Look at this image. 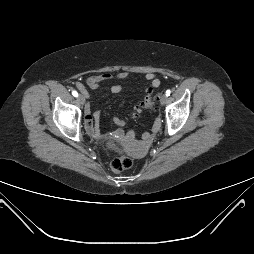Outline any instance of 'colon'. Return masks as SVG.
<instances>
[{"mask_svg":"<svg viewBox=\"0 0 254 254\" xmlns=\"http://www.w3.org/2000/svg\"><path fill=\"white\" fill-rule=\"evenodd\" d=\"M154 106V102L153 99L151 97V95L149 94L145 100L143 102H141V104L139 105L138 109H137V113H141L143 111H149L152 110ZM107 146L109 149H111L112 151H114L117 156L113 159V161L111 162V170L113 172H122L125 170H128L132 167L133 165V160L126 156L123 153L121 144L116 141V140H111L107 143Z\"/></svg>","mask_w":254,"mask_h":254,"instance_id":"colon-1","label":"colon"}]
</instances>
